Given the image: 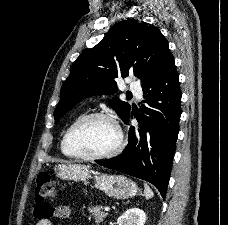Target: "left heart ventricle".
<instances>
[{"mask_svg": "<svg viewBox=\"0 0 228 225\" xmlns=\"http://www.w3.org/2000/svg\"><path fill=\"white\" fill-rule=\"evenodd\" d=\"M118 142L114 126L100 118L81 123L72 133L70 151L84 155H99L113 149Z\"/></svg>", "mask_w": 228, "mask_h": 225, "instance_id": "1", "label": "left heart ventricle"}]
</instances>
